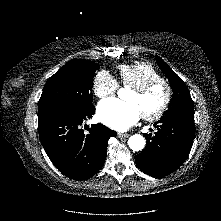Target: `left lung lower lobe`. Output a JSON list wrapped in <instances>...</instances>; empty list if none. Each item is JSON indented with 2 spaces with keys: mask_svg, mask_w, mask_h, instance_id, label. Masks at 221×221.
Returning <instances> with one entry per match:
<instances>
[{
  "mask_svg": "<svg viewBox=\"0 0 221 221\" xmlns=\"http://www.w3.org/2000/svg\"><path fill=\"white\" fill-rule=\"evenodd\" d=\"M155 136L143 134L145 149L136 156L137 166L153 177L177 170L186 160L195 135L194 116L161 118Z\"/></svg>",
  "mask_w": 221,
  "mask_h": 221,
  "instance_id": "left-lung-lower-lobe-1",
  "label": "left lung lower lobe"
}]
</instances>
